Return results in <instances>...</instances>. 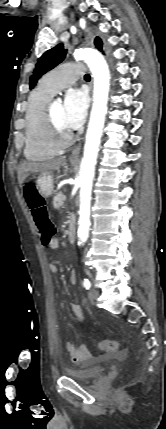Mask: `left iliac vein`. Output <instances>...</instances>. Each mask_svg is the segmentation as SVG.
I'll use <instances>...</instances> for the list:
<instances>
[{
    "mask_svg": "<svg viewBox=\"0 0 166 429\" xmlns=\"http://www.w3.org/2000/svg\"><path fill=\"white\" fill-rule=\"evenodd\" d=\"M98 296H99V293H98V291H97V290H95V289H90V290L88 291V297H89V299H90V301H91L92 303H94V302L96 301V299L98 298Z\"/></svg>",
    "mask_w": 166,
    "mask_h": 429,
    "instance_id": "1",
    "label": "left iliac vein"
}]
</instances>
